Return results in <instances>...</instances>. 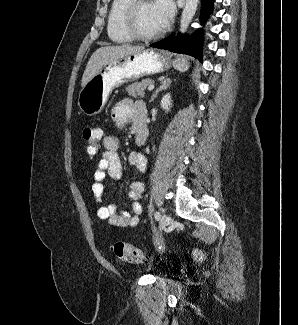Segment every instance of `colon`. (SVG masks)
<instances>
[{
    "label": "colon",
    "mask_w": 298,
    "mask_h": 325,
    "mask_svg": "<svg viewBox=\"0 0 298 325\" xmlns=\"http://www.w3.org/2000/svg\"><path fill=\"white\" fill-rule=\"evenodd\" d=\"M101 137V129L95 126H86L83 129L82 138L84 147L90 157H93L99 152ZM113 252L118 259L124 262L142 263L144 261L142 252L128 243L116 242L113 246ZM194 255L199 259L203 256V254L197 250L194 252Z\"/></svg>",
    "instance_id": "colon-1"
}]
</instances>
